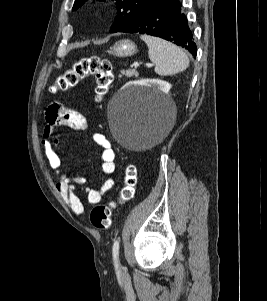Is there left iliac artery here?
Returning <instances> with one entry per match:
<instances>
[{
  "mask_svg": "<svg viewBox=\"0 0 267 301\" xmlns=\"http://www.w3.org/2000/svg\"><path fill=\"white\" fill-rule=\"evenodd\" d=\"M113 260L114 264L117 267L118 266V259H119V240H115L113 244Z\"/></svg>",
  "mask_w": 267,
  "mask_h": 301,
  "instance_id": "left-iliac-artery-1",
  "label": "left iliac artery"
}]
</instances>
